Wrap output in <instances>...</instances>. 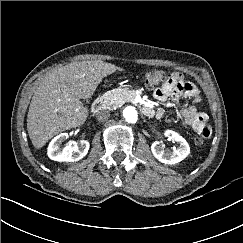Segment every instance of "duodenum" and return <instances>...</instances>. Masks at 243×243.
Segmentation results:
<instances>
[{
	"label": "duodenum",
	"mask_w": 243,
	"mask_h": 243,
	"mask_svg": "<svg viewBox=\"0 0 243 243\" xmlns=\"http://www.w3.org/2000/svg\"><path fill=\"white\" fill-rule=\"evenodd\" d=\"M108 104H109L108 98L98 97L94 99V101L92 102L91 111L92 113L96 114L100 112L102 109H104ZM142 112L149 117L154 115L153 108L148 105H144L142 107Z\"/></svg>",
	"instance_id": "410a0bca"
}]
</instances>
